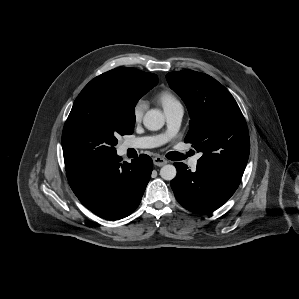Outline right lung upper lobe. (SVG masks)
I'll use <instances>...</instances> for the list:
<instances>
[{
	"label": "right lung upper lobe",
	"mask_w": 299,
	"mask_h": 299,
	"mask_svg": "<svg viewBox=\"0 0 299 299\" xmlns=\"http://www.w3.org/2000/svg\"><path fill=\"white\" fill-rule=\"evenodd\" d=\"M122 90L131 103L137 101L158 83L155 74L135 68H116L94 78Z\"/></svg>",
	"instance_id": "obj_1"
}]
</instances>
